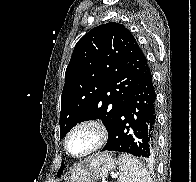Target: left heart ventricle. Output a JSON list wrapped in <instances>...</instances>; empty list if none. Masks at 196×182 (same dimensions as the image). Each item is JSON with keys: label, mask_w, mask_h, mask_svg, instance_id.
Masks as SVG:
<instances>
[{"label": "left heart ventricle", "mask_w": 196, "mask_h": 182, "mask_svg": "<svg viewBox=\"0 0 196 182\" xmlns=\"http://www.w3.org/2000/svg\"><path fill=\"white\" fill-rule=\"evenodd\" d=\"M94 142V134L90 130H79L69 140V149L73 154L85 152Z\"/></svg>", "instance_id": "1"}]
</instances>
